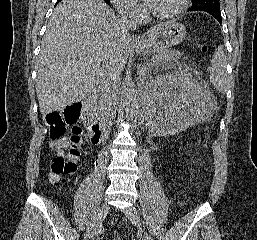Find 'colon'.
I'll return each instance as SVG.
<instances>
[{
    "instance_id": "1",
    "label": "colon",
    "mask_w": 257,
    "mask_h": 240,
    "mask_svg": "<svg viewBox=\"0 0 257 240\" xmlns=\"http://www.w3.org/2000/svg\"><path fill=\"white\" fill-rule=\"evenodd\" d=\"M209 46L202 47V54L208 55ZM80 116V106L77 104L66 107L63 112H52L46 116V123L49 128L51 140H58L65 137L66 128L73 126L72 135L69 138L68 150L64 153L56 154L50 165V177L58 180L62 176L73 175L77 171V161L80 155V135L81 129L76 126Z\"/></svg>"
}]
</instances>
